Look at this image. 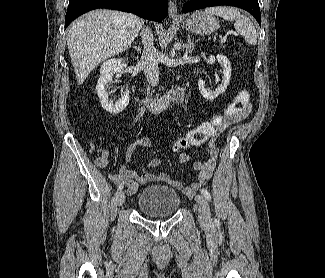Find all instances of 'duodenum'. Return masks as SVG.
<instances>
[{
  "instance_id": "410a0bca",
  "label": "duodenum",
  "mask_w": 325,
  "mask_h": 278,
  "mask_svg": "<svg viewBox=\"0 0 325 278\" xmlns=\"http://www.w3.org/2000/svg\"><path fill=\"white\" fill-rule=\"evenodd\" d=\"M174 99V90L169 91L165 96L160 99L145 98L144 101L154 113H159L168 108Z\"/></svg>"
}]
</instances>
